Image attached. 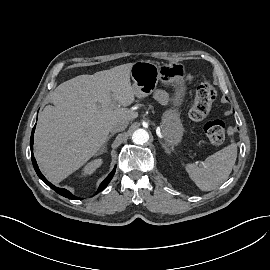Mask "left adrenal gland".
Returning <instances> with one entry per match:
<instances>
[{
	"label": "left adrenal gland",
	"mask_w": 270,
	"mask_h": 270,
	"mask_svg": "<svg viewBox=\"0 0 270 270\" xmlns=\"http://www.w3.org/2000/svg\"><path fill=\"white\" fill-rule=\"evenodd\" d=\"M166 152H168L167 148L165 147Z\"/></svg>",
	"instance_id": "a2214340"
}]
</instances>
